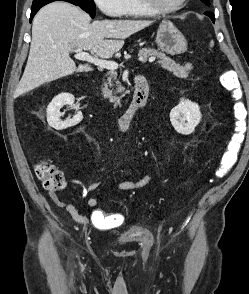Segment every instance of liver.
<instances>
[{
    "label": "liver",
    "mask_w": 249,
    "mask_h": 294,
    "mask_svg": "<svg viewBox=\"0 0 249 294\" xmlns=\"http://www.w3.org/2000/svg\"><path fill=\"white\" fill-rule=\"evenodd\" d=\"M90 21L88 14L66 2L40 9L33 20L30 52L16 97L75 72L90 71L89 65L77 67L71 59L74 48L89 50L95 58H110L123 47L124 39L152 24L146 20Z\"/></svg>",
    "instance_id": "1"
}]
</instances>
